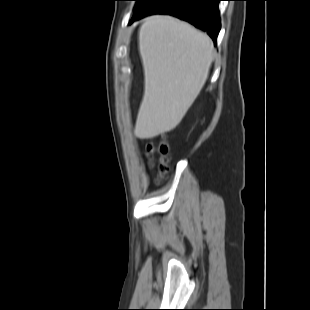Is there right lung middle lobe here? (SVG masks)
<instances>
[{"label": "right lung middle lobe", "mask_w": 310, "mask_h": 310, "mask_svg": "<svg viewBox=\"0 0 310 310\" xmlns=\"http://www.w3.org/2000/svg\"><path fill=\"white\" fill-rule=\"evenodd\" d=\"M137 1V4L134 9V14H137L150 6H152L154 3L158 2L159 0H135Z\"/></svg>", "instance_id": "dd1d6c3e"}]
</instances>
